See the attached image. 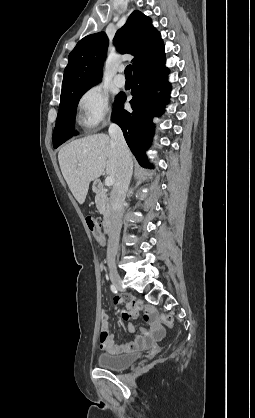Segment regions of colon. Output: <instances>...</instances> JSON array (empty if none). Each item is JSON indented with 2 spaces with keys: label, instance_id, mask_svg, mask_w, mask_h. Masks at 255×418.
Returning a JSON list of instances; mask_svg holds the SVG:
<instances>
[{
  "label": "colon",
  "instance_id": "colon-1",
  "mask_svg": "<svg viewBox=\"0 0 255 418\" xmlns=\"http://www.w3.org/2000/svg\"><path fill=\"white\" fill-rule=\"evenodd\" d=\"M86 223L94 240L98 244L103 245L105 242V237H104L100 222L93 216L88 215L86 217ZM151 321L155 329H158L162 327L163 325H166V326L172 325V317L169 314H160V315L152 314Z\"/></svg>",
  "mask_w": 255,
  "mask_h": 418
}]
</instances>
